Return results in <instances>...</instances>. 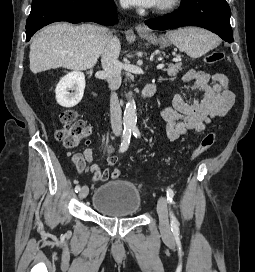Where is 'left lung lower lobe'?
<instances>
[{"instance_id":"obj_1","label":"left lung lower lobe","mask_w":255,"mask_h":272,"mask_svg":"<svg viewBox=\"0 0 255 272\" xmlns=\"http://www.w3.org/2000/svg\"><path fill=\"white\" fill-rule=\"evenodd\" d=\"M231 11L226 0H182L181 8L163 17L146 20L151 29L166 30L198 26L216 33L226 42H233Z\"/></svg>"}]
</instances>
